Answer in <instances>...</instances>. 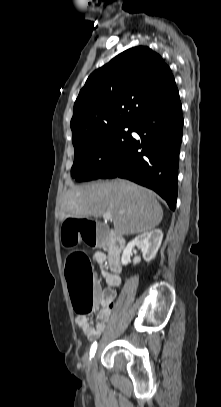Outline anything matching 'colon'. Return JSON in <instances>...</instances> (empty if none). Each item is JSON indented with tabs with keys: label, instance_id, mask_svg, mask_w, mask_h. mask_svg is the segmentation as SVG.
Here are the masks:
<instances>
[{
	"label": "colon",
	"instance_id": "obj_1",
	"mask_svg": "<svg viewBox=\"0 0 221 407\" xmlns=\"http://www.w3.org/2000/svg\"><path fill=\"white\" fill-rule=\"evenodd\" d=\"M110 237L107 222H97L93 216H67L59 238L70 246L75 239H85L86 246L104 249ZM65 276L74 310L88 315L96 305V288L94 276L88 257L83 252H73L67 259Z\"/></svg>",
	"mask_w": 221,
	"mask_h": 407
}]
</instances>
